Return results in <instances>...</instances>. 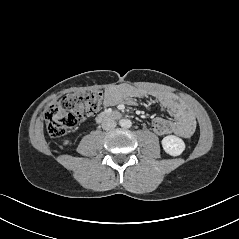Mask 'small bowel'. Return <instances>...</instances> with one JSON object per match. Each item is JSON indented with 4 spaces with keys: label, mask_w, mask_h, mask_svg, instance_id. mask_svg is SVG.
Segmentation results:
<instances>
[{
    "label": "small bowel",
    "mask_w": 239,
    "mask_h": 239,
    "mask_svg": "<svg viewBox=\"0 0 239 239\" xmlns=\"http://www.w3.org/2000/svg\"><path fill=\"white\" fill-rule=\"evenodd\" d=\"M149 98L158 109L167 112L172 118L173 133L182 138H189L196 129V119L193 112L173 94L162 91H148L144 88L130 85H117L105 91L104 106L113 107L121 103L133 104L137 98Z\"/></svg>",
    "instance_id": "small-bowel-1"
}]
</instances>
